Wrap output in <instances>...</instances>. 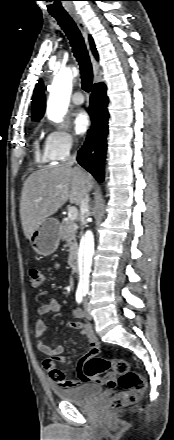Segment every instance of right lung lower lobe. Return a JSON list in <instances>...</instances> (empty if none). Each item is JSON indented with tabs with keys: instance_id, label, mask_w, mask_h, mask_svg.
<instances>
[{
	"instance_id": "obj_1",
	"label": "right lung lower lobe",
	"mask_w": 174,
	"mask_h": 440,
	"mask_svg": "<svg viewBox=\"0 0 174 440\" xmlns=\"http://www.w3.org/2000/svg\"><path fill=\"white\" fill-rule=\"evenodd\" d=\"M108 97L103 83L94 84L90 97L89 114L92 119L91 130L82 148L78 152L77 161L89 171L98 182L104 179V159L107 149L108 133Z\"/></svg>"
}]
</instances>
